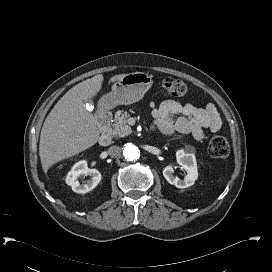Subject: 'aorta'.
I'll return each mask as SVG.
<instances>
[{"instance_id": "762f6f07", "label": "aorta", "mask_w": 272, "mask_h": 272, "mask_svg": "<svg viewBox=\"0 0 272 272\" xmlns=\"http://www.w3.org/2000/svg\"><path fill=\"white\" fill-rule=\"evenodd\" d=\"M123 155L127 160L135 161L140 157V150L136 145L128 143L123 149Z\"/></svg>"}]
</instances>
